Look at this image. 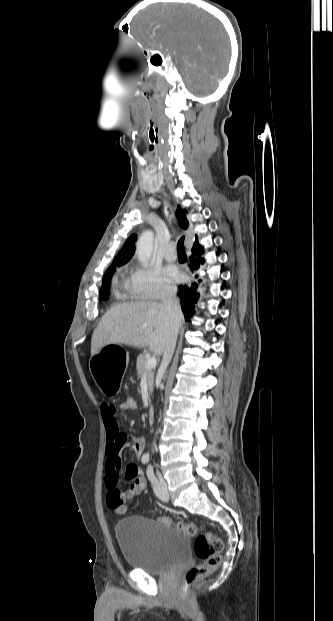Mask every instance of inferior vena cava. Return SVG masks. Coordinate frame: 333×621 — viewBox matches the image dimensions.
<instances>
[{
    "mask_svg": "<svg viewBox=\"0 0 333 621\" xmlns=\"http://www.w3.org/2000/svg\"><path fill=\"white\" fill-rule=\"evenodd\" d=\"M176 293H177L176 289H171L167 291V293L165 294L162 300V304L170 320V330H169V334L167 337L165 349L163 352L162 362L159 368L160 374L165 373L172 359L175 346H176L177 335H178L179 328H180L179 315H180L181 310H180L179 300L176 297Z\"/></svg>",
    "mask_w": 333,
    "mask_h": 621,
    "instance_id": "1",
    "label": "inferior vena cava"
}]
</instances>
